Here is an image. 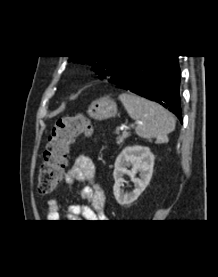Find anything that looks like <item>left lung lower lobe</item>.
<instances>
[{"instance_id":"left-lung-lower-lobe-1","label":"left lung lower lobe","mask_w":218,"mask_h":277,"mask_svg":"<svg viewBox=\"0 0 218 277\" xmlns=\"http://www.w3.org/2000/svg\"><path fill=\"white\" fill-rule=\"evenodd\" d=\"M180 77L178 56L138 55L115 72L109 81L122 89L158 102L183 123L179 96Z\"/></svg>"}]
</instances>
